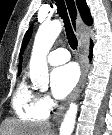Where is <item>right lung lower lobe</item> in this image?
I'll list each match as a JSON object with an SVG mask.
<instances>
[{"mask_svg":"<svg viewBox=\"0 0 112 135\" xmlns=\"http://www.w3.org/2000/svg\"><path fill=\"white\" fill-rule=\"evenodd\" d=\"M92 46H93V44H92V41H91V44H90V50H92ZM89 58H90V59L92 58V53H91V52H90Z\"/></svg>","mask_w":112,"mask_h":135,"instance_id":"98d812e1","label":"right lung lower lobe"}]
</instances>
